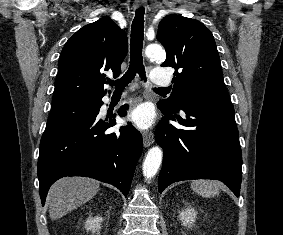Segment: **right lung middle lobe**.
<instances>
[{
	"label": "right lung middle lobe",
	"mask_w": 283,
	"mask_h": 235,
	"mask_svg": "<svg viewBox=\"0 0 283 235\" xmlns=\"http://www.w3.org/2000/svg\"><path fill=\"white\" fill-rule=\"evenodd\" d=\"M95 98H76L53 103L46 130H52L88 114L97 103Z\"/></svg>",
	"instance_id": "right-lung-middle-lobe-1"
}]
</instances>
